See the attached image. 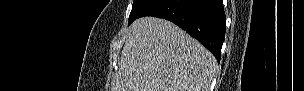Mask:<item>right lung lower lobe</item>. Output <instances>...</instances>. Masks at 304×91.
<instances>
[{
	"label": "right lung lower lobe",
	"instance_id": "1",
	"mask_svg": "<svg viewBox=\"0 0 304 91\" xmlns=\"http://www.w3.org/2000/svg\"><path fill=\"white\" fill-rule=\"evenodd\" d=\"M143 16L172 21L220 61L226 23L222 0H150L137 18Z\"/></svg>",
	"mask_w": 304,
	"mask_h": 91
}]
</instances>
